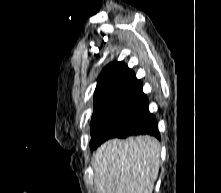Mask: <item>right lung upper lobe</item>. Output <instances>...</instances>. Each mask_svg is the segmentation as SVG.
<instances>
[{
    "label": "right lung upper lobe",
    "instance_id": "obj_1",
    "mask_svg": "<svg viewBox=\"0 0 221 193\" xmlns=\"http://www.w3.org/2000/svg\"><path fill=\"white\" fill-rule=\"evenodd\" d=\"M148 102L142 85L131 69L122 62H112L101 72L94 92V112L109 105L125 102Z\"/></svg>",
    "mask_w": 221,
    "mask_h": 193
}]
</instances>
